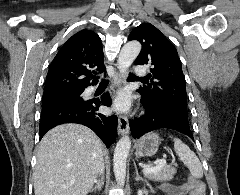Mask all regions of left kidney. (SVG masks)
I'll return each mask as SVG.
<instances>
[{
  "label": "left kidney",
  "mask_w": 240,
  "mask_h": 195,
  "mask_svg": "<svg viewBox=\"0 0 240 195\" xmlns=\"http://www.w3.org/2000/svg\"><path fill=\"white\" fill-rule=\"evenodd\" d=\"M137 193H138V195H143V193H145V195H147V191H145V189H138Z\"/></svg>",
  "instance_id": "obj_1"
}]
</instances>
